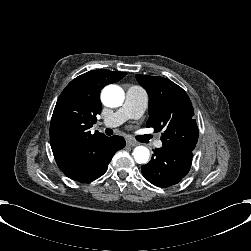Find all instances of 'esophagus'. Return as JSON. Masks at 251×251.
<instances>
[{"instance_id": "esophagus-1", "label": "esophagus", "mask_w": 251, "mask_h": 251, "mask_svg": "<svg viewBox=\"0 0 251 251\" xmlns=\"http://www.w3.org/2000/svg\"><path fill=\"white\" fill-rule=\"evenodd\" d=\"M127 144H128V146H131V147L139 145L138 142L133 141V140H128V141H127Z\"/></svg>"}]
</instances>
